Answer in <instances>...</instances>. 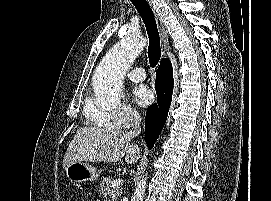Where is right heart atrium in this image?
Segmentation results:
<instances>
[{
    "instance_id": "obj_1",
    "label": "right heart atrium",
    "mask_w": 271,
    "mask_h": 201,
    "mask_svg": "<svg viewBox=\"0 0 271 201\" xmlns=\"http://www.w3.org/2000/svg\"><path fill=\"white\" fill-rule=\"evenodd\" d=\"M87 115L94 124L103 127L130 128L141 121L140 112L129 105H123L115 111H105L90 102Z\"/></svg>"
}]
</instances>
